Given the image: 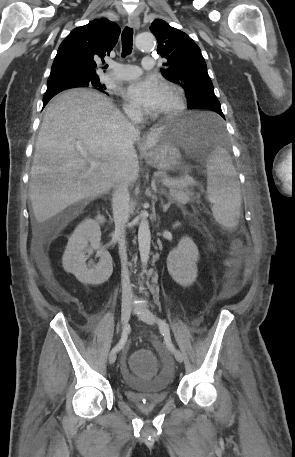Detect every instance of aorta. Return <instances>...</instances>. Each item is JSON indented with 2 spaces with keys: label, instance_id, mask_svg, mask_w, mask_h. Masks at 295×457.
I'll use <instances>...</instances> for the list:
<instances>
[{
  "label": "aorta",
  "instance_id": "1",
  "mask_svg": "<svg viewBox=\"0 0 295 457\" xmlns=\"http://www.w3.org/2000/svg\"><path fill=\"white\" fill-rule=\"evenodd\" d=\"M135 45L140 50H151L154 47V36L149 33L138 34L135 38ZM147 216V212H141V222L138 229L139 252L143 268L148 263L151 243V233Z\"/></svg>",
  "mask_w": 295,
  "mask_h": 457
}]
</instances>
